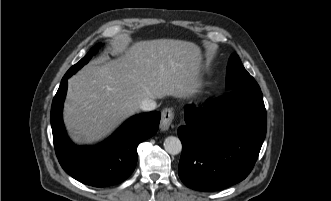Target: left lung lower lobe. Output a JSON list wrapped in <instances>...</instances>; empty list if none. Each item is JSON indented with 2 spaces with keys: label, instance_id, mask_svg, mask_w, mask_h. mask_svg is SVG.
I'll return each instance as SVG.
<instances>
[{
  "label": "left lung lower lobe",
  "instance_id": "0a47b994",
  "mask_svg": "<svg viewBox=\"0 0 331 201\" xmlns=\"http://www.w3.org/2000/svg\"><path fill=\"white\" fill-rule=\"evenodd\" d=\"M177 133L183 150L178 174L189 188L214 191L245 179L263 144L267 116L258 88L232 90L204 107H185Z\"/></svg>",
  "mask_w": 331,
  "mask_h": 201
}]
</instances>
